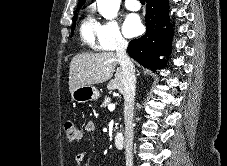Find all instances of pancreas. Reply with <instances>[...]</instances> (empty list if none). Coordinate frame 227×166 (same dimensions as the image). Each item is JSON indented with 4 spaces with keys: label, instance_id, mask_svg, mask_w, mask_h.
Here are the masks:
<instances>
[{
    "label": "pancreas",
    "instance_id": "pancreas-1",
    "mask_svg": "<svg viewBox=\"0 0 227 166\" xmlns=\"http://www.w3.org/2000/svg\"><path fill=\"white\" fill-rule=\"evenodd\" d=\"M111 102V99L109 97H106L104 102L102 103V107H107Z\"/></svg>",
    "mask_w": 227,
    "mask_h": 166
}]
</instances>
